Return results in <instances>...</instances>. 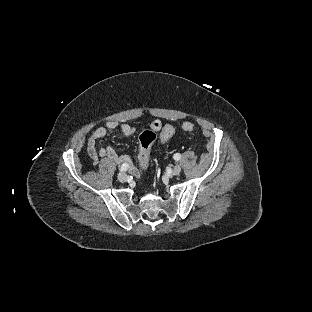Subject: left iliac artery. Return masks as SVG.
Listing matches in <instances>:
<instances>
[{
  "instance_id": "1",
  "label": "left iliac artery",
  "mask_w": 312,
  "mask_h": 312,
  "mask_svg": "<svg viewBox=\"0 0 312 312\" xmlns=\"http://www.w3.org/2000/svg\"><path fill=\"white\" fill-rule=\"evenodd\" d=\"M173 158L176 160V161H179L180 158H181V155L179 153H176L174 154Z\"/></svg>"
}]
</instances>
